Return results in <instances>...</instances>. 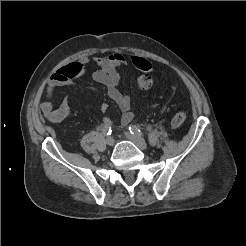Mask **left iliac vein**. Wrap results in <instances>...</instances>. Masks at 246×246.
Instances as JSON below:
<instances>
[{"instance_id": "obj_1", "label": "left iliac vein", "mask_w": 246, "mask_h": 246, "mask_svg": "<svg viewBox=\"0 0 246 246\" xmlns=\"http://www.w3.org/2000/svg\"><path fill=\"white\" fill-rule=\"evenodd\" d=\"M125 136H126L127 139L132 141L139 149H141V150L147 149V147H148L147 143L139 135H134V134H132L130 132H125Z\"/></svg>"}]
</instances>
